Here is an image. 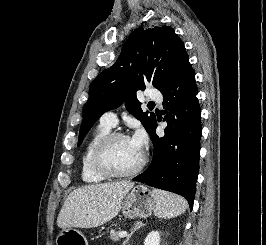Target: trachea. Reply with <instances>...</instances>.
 Instances as JSON below:
<instances>
[{
  "label": "trachea",
  "mask_w": 266,
  "mask_h": 245,
  "mask_svg": "<svg viewBox=\"0 0 266 245\" xmlns=\"http://www.w3.org/2000/svg\"><path fill=\"white\" fill-rule=\"evenodd\" d=\"M150 104H154V102H150Z\"/></svg>",
  "instance_id": "trachea-1"
}]
</instances>
